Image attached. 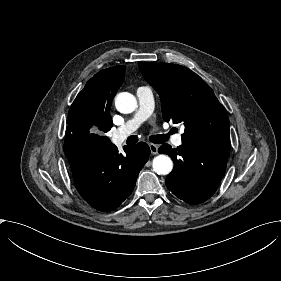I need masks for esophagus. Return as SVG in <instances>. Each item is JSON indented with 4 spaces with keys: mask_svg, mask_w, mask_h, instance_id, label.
<instances>
[{
    "mask_svg": "<svg viewBox=\"0 0 281 281\" xmlns=\"http://www.w3.org/2000/svg\"><path fill=\"white\" fill-rule=\"evenodd\" d=\"M149 148H150V151H151L152 154H157L158 153V147L155 144L150 143L149 144Z\"/></svg>",
    "mask_w": 281,
    "mask_h": 281,
    "instance_id": "34e87169",
    "label": "esophagus"
}]
</instances>
